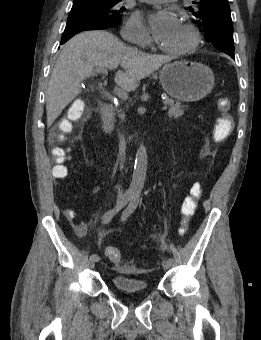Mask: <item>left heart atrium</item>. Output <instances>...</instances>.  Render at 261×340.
I'll return each mask as SVG.
<instances>
[{
	"instance_id": "left-heart-atrium-1",
	"label": "left heart atrium",
	"mask_w": 261,
	"mask_h": 340,
	"mask_svg": "<svg viewBox=\"0 0 261 340\" xmlns=\"http://www.w3.org/2000/svg\"><path fill=\"white\" fill-rule=\"evenodd\" d=\"M148 22L154 37L160 43L167 41L181 26L178 15L169 9L151 12Z\"/></svg>"
}]
</instances>
